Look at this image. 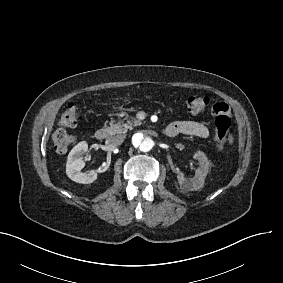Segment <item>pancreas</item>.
Returning <instances> with one entry per match:
<instances>
[{
	"label": "pancreas",
	"mask_w": 283,
	"mask_h": 283,
	"mask_svg": "<svg viewBox=\"0 0 283 283\" xmlns=\"http://www.w3.org/2000/svg\"><path fill=\"white\" fill-rule=\"evenodd\" d=\"M137 125H139V120L132 118V120H128L126 123L118 122L114 124V122L111 121L110 126L105 125L104 127L110 135H114L126 133L128 130H132L133 127Z\"/></svg>",
	"instance_id": "pancreas-1"
}]
</instances>
